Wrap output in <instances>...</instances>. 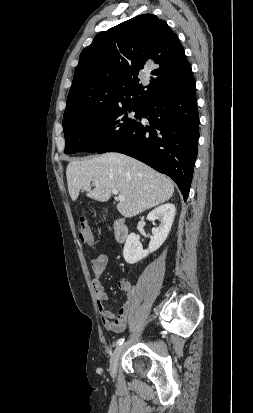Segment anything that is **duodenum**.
I'll use <instances>...</instances> for the list:
<instances>
[{
    "label": "duodenum",
    "instance_id": "1",
    "mask_svg": "<svg viewBox=\"0 0 253 413\" xmlns=\"http://www.w3.org/2000/svg\"><path fill=\"white\" fill-rule=\"evenodd\" d=\"M128 233H129V229H128L126 220L123 218L116 220L114 223L115 239L119 243H122L127 239Z\"/></svg>",
    "mask_w": 253,
    "mask_h": 413
}]
</instances>
